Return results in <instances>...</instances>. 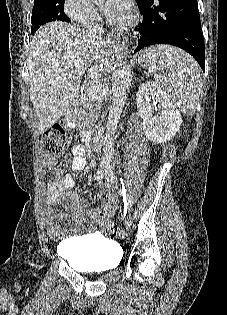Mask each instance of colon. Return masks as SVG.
Segmentation results:
<instances>
[{"label": "colon", "mask_w": 227, "mask_h": 315, "mask_svg": "<svg viewBox=\"0 0 227 315\" xmlns=\"http://www.w3.org/2000/svg\"><path fill=\"white\" fill-rule=\"evenodd\" d=\"M67 140V131L63 124H54L48 128L41 139L42 163L40 167V180L47 184L59 177L58 160L64 154ZM101 205L98 209L100 221L104 225V234L108 237L123 236L121 228L115 222L108 221L109 194L102 192L99 195Z\"/></svg>", "instance_id": "1"}]
</instances>
